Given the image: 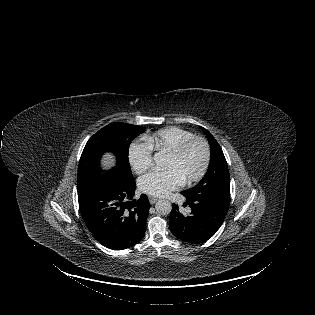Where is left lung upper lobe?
<instances>
[{
  "label": "left lung upper lobe",
  "instance_id": "left-lung-upper-lobe-1",
  "mask_svg": "<svg viewBox=\"0 0 315 315\" xmlns=\"http://www.w3.org/2000/svg\"><path fill=\"white\" fill-rule=\"evenodd\" d=\"M210 144V164L203 179L193 188L183 193L213 194L221 199H230V177L227 162L222 148L212 134L202 128Z\"/></svg>",
  "mask_w": 315,
  "mask_h": 315
}]
</instances>
